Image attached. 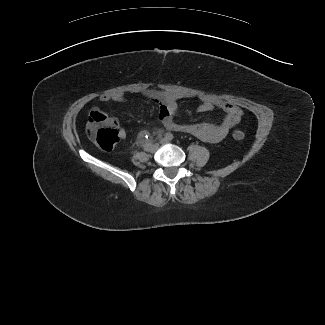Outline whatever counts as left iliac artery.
Instances as JSON below:
<instances>
[{
  "label": "left iliac artery",
  "instance_id": "left-iliac-artery-1",
  "mask_svg": "<svg viewBox=\"0 0 325 325\" xmlns=\"http://www.w3.org/2000/svg\"><path fill=\"white\" fill-rule=\"evenodd\" d=\"M165 138H166L167 140H172V139L174 138V136H173V134H171V133H166V134H165Z\"/></svg>",
  "mask_w": 325,
  "mask_h": 325
}]
</instances>
